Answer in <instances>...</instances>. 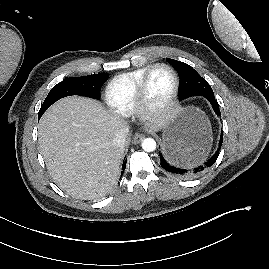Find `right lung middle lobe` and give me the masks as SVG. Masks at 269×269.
Segmentation results:
<instances>
[{
    "label": "right lung middle lobe",
    "mask_w": 269,
    "mask_h": 269,
    "mask_svg": "<svg viewBox=\"0 0 269 269\" xmlns=\"http://www.w3.org/2000/svg\"><path fill=\"white\" fill-rule=\"evenodd\" d=\"M108 74H93L82 77H70L55 85L44 100L38 114L41 118L43 113L57 100L70 96L81 95L94 99L100 98L102 85L107 81Z\"/></svg>",
    "instance_id": "obj_1"
}]
</instances>
